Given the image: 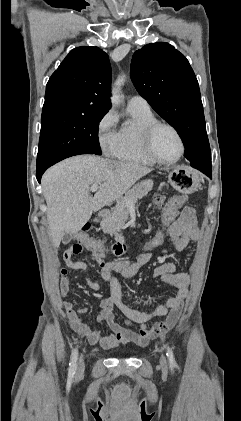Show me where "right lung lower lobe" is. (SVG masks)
<instances>
[{"instance_id":"98d812e1","label":"right lung lower lobe","mask_w":241,"mask_h":421,"mask_svg":"<svg viewBox=\"0 0 241 421\" xmlns=\"http://www.w3.org/2000/svg\"><path fill=\"white\" fill-rule=\"evenodd\" d=\"M48 167H50V165L43 166V167H37L36 177H37V180H38V182H39V183H40V180H41L42 174L45 172V170H46Z\"/></svg>"}]
</instances>
